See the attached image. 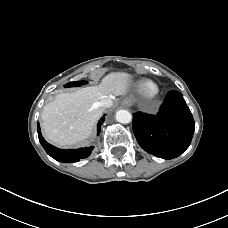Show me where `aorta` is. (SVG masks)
Instances as JSON below:
<instances>
[{"instance_id": "aorta-1", "label": "aorta", "mask_w": 228, "mask_h": 228, "mask_svg": "<svg viewBox=\"0 0 228 228\" xmlns=\"http://www.w3.org/2000/svg\"><path fill=\"white\" fill-rule=\"evenodd\" d=\"M116 120L119 122V123H123V124H128L131 122L132 120V115L129 111L127 110H118L116 112Z\"/></svg>"}]
</instances>
